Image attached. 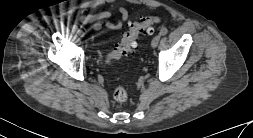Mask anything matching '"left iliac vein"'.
<instances>
[{
    "label": "left iliac vein",
    "instance_id": "4c4485c4",
    "mask_svg": "<svg viewBox=\"0 0 253 138\" xmlns=\"http://www.w3.org/2000/svg\"><path fill=\"white\" fill-rule=\"evenodd\" d=\"M159 40H160V35H156L153 39H152V42H151V47L154 49L157 47L158 43H159Z\"/></svg>",
    "mask_w": 253,
    "mask_h": 138
}]
</instances>
